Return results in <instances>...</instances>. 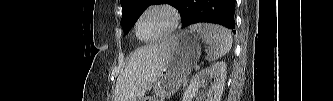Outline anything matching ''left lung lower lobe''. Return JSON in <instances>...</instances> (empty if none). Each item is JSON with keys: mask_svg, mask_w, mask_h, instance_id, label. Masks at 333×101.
I'll return each instance as SVG.
<instances>
[{"mask_svg": "<svg viewBox=\"0 0 333 101\" xmlns=\"http://www.w3.org/2000/svg\"><path fill=\"white\" fill-rule=\"evenodd\" d=\"M182 28L199 22L223 25L235 33V0H181Z\"/></svg>", "mask_w": 333, "mask_h": 101, "instance_id": "1", "label": "left lung lower lobe"}]
</instances>
